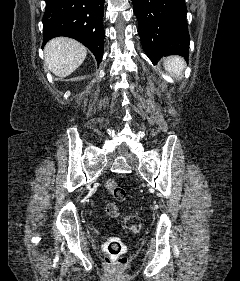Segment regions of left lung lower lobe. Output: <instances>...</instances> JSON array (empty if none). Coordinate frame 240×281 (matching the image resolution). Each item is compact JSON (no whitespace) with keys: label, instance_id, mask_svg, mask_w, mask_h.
<instances>
[{"label":"left lung lower lobe","instance_id":"left-lung-lower-lobe-1","mask_svg":"<svg viewBox=\"0 0 240 281\" xmlns=\"http://www.w3.org/2000/svg\"><path fill=\"white\" fill-rule=\"evenodd\" d=\"M138 33L153 63L162 56L189 53L185 0H132Z\"/></svg>","mask_w":240,"mask_h":281}]
</instances>
